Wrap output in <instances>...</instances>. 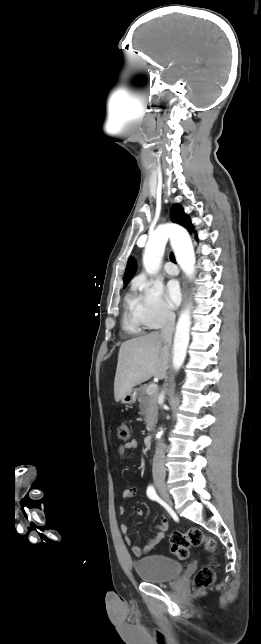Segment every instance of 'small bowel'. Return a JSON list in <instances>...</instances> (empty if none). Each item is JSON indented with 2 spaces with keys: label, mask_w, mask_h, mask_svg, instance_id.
<instances>
[{
  "label": "small bowel",
  "mask_w": 261,
  "mask_h": 644,
  "mask_svg": "<svg viewBox=\"0 0 261 644\" xmlns=\"http://www.w3.org/2000/svg\"><path fill=\"white\" fill-rule=\"evenodd\" d=\"M138 447V442L136 440H131L129 442H126L122 445L119 446L118 453L120 460H123L126 453L128 451L135 450ZM137 487L136 486H131L123 490L122 492V497L124 499H130L132 498L135 493H136ZM120 511L123 513L125 511L124 507L120 508ZM144 514L143 509L137 508L136 509V515L142 516ZM168 528V519L166 517H161L160 519V524L156 527L157 533L155 537L149 539L143 547H140L138 545H133L131 547V551L135 556H141L144 553H148L152 550H154L163 540L164 538V532ZM121 532L125 535V540L128 544L131 543V537L129 535L130 533V526L127 524H121L120 526Z\"/></svg>",
  "instance_id": "obj_1"
}]
</instances>
